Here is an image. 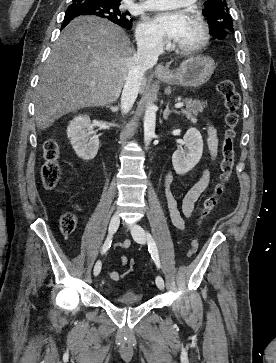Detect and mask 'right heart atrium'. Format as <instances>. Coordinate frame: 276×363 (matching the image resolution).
<instances>
[{"label":"right heart atrium","mask_w":276,"mask_h":363,"mask_svg":"<svg viewBox=\"0 0 276 363\" xmlns=\"http://www.w3.org/2000/svg\"><path fill=\"white\" fill-rule=\"evenodd\" d=\"M137 37L139 42L145 46L158 47L162 42L160 35L147 21H143L138 26Z\"/></svg>","instance_id":"1"}]
</instances>
